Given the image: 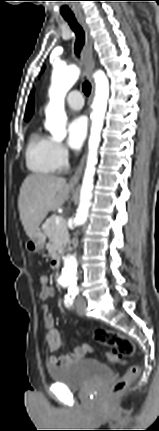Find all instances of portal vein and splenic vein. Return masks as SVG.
I'll return each mask as SVG.
<instances>
[{"label":"portal vein and splenic vein","instance_id":"portal-vein-and-splenic-vein-1","mask_svg":"<svg viewBox=\"0 0 159 431\" xmlns=\"http://www.w3.org/2000/svg\"><path fill=\"white\" fill-rule=\"evenodd\" d=\"M63 221V218L61 216H56L55 218V224L59 225Z\"/></svg>","mask_w":159,"mask_h":431}]
</instances>
